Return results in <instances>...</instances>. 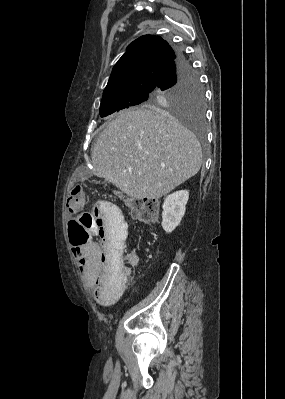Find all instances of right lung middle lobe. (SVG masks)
Instances as JSON below:
<instances>
[{"label":"right lung middle lobe","instance_id":"1","mask_svg":"<svg viewBox=\"0 0 285 399\" xmlns=\"http://www.w3.org/2000/svg\"><path fill=\"white\" fill-rule=\"evenodd\" d=\"M136 105L169 111L197 127H200L204 120L203 89L192 68L176 82L161 88L131 90L103 96L100 116L105 117Z\"/></svg>","mask_w":285,"mask_h":399}]
</instances>
